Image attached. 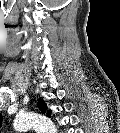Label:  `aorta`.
<instances>
[{
	"label": "aorta",
	"instance_id": "aorta-1",
	"mask_svg": "<svg viewBox=\"0 0 120 133\" xmlns=\"http://www.w3.org/2000/svg\"><path fill=\"white\" fill-rule=\"evenodd\" d=\"M15 129L21 131L31 127L41 131H54V126L50 120L40 114H25L15 121Z\"/></svg>",
	"mask_w": 120,
	"mask_h": 133
}]
</instances>
